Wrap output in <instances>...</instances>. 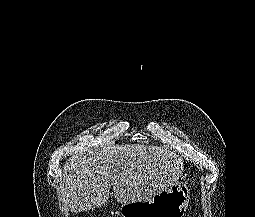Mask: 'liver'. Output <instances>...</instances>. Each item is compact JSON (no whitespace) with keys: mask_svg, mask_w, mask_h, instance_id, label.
<instances>
[{"mask_svg":"<svg viewBox=\"0 0 255 217\" xmlns=\"http://www.w3.org/2000/svg\"><path fill=\"white\" fill-rule=\"evenodd\" d=\"M184 160L158 146L110 144L72 155L60 182L62 205L78 213L101 207L111 187L117 202L151 199L181 177Z\"/></svg>","mask_w":255,"mask_h":217,"instance_id":"liver-1","label":"liver"}]
</instances>
